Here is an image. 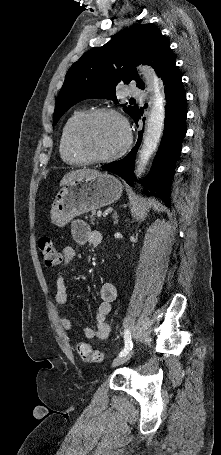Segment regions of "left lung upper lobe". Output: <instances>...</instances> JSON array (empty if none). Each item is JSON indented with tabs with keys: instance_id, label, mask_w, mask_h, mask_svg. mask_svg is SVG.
<instances>
[{
	"instance_id": "left-lung-upper-lobe-1",
	"label": "left lung upper lobe",
	"mask_w": 221,
	"mask_h": 455,
	"mask_svg": "<svg viewBox=\"0 0 221 455\" xmlns=\"http://www.w3.org/2000/svg\"><path fill=\"white\" fill-rule=\"evenodd\" d=\"M176 63L169 41L158 27L151 24L135 25L118 34L102 47L82 55L69 69L58 95L53 125L74 104L87 98H107L117 103L118 84L144 83L135 72L139 64L151 65L162 77ZM132 118L139 112L137 106L123 105Z\"/></svg>"
}]
</instances>
